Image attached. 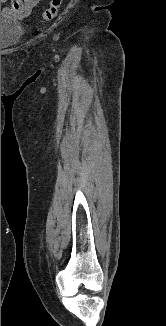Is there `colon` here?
Segmentation results:
<instances>
[{
	"label": "colon",
	"mask_w": 166,
	"mask_h": 326,
	"mask_svg": "<svg viewBox=\"0 0 166 326\" xmlns=\"http://www.w3.org/2000/svg\"><path fill=\"white\" fill-rule=\"evenodd\" d=\"M63 0H51L49 6L41 12V18L44 20H53L60 10Z\"/></svg>",
	"instance_id": "colon-1"
}]
</instances>
